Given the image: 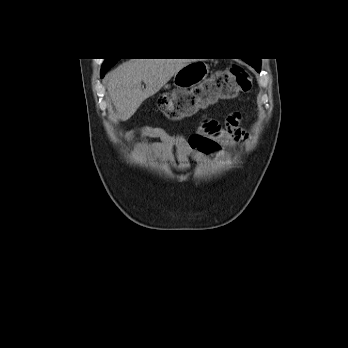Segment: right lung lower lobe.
Here are the masks:
<instances>
[{
    "instance_id": "right-lung-lower-lobe-1",
    "label": "right lung lower lobe",
    "mask_w": 348,
    "mask_h": 348,
    "mask_svg": "<svg viewBox=\"0 0 348 348\" xmlns=\"http://www.w3.org/2000/svg\"><path fill=\"white\" fill-rule=\"evenodd\" d=\"M107 70H109V69H101V77H104Z\"/></svg>"
}]
</instances>
